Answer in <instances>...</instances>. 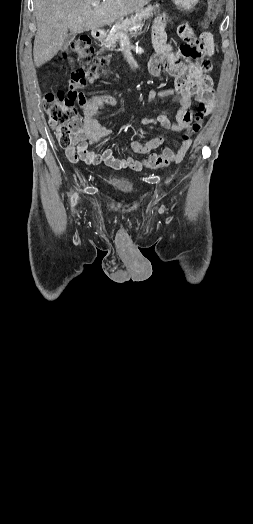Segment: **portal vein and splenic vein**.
<instances>
[{
  "instance_id": "obj_1",
  "label": "portal vein and splenic vein",
  "mask_w": 253,
  "mask_h": 524,
  "mask_svg": "<svg viewBox=\"0 0 253 524\" xmlns=\"http://www.w3.org/2000/svg\"><path fill=\"white\" fill-rule=\"evenodd\" d=\"M98 5H99V4L96 3V2H93V3H92V6H93V7H97ZM140 27H141V25L138 24V25L133 26L130 30H136V29H138V28H140Z\"/></svg>"
}]
</instances>
